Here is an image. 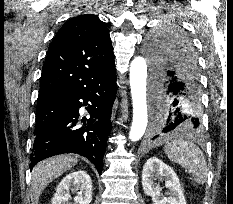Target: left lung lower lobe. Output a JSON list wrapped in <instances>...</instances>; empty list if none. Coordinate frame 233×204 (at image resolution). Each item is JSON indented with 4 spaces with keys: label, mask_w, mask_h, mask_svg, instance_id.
<instances>
[{
    "label": "left lung lower lobe",
    "mask_w": 233,
    "mask_h": 204,
    "mask_svg": "<svg viewBox=\"0 0 233 204\" xmlns=\"http://www.w3.org/2000/svg\"><path fill=\"white\" fill-rule=\"evenodd\" d=\"M193 58L173 55L168 63L153 71L152 89L157 104L152 124L153 139L175 131L200 133L201 91ZM162 104H167L163 107Z\"/></svg>",
    "instance_id": "obj_1"
}]
</instances>
